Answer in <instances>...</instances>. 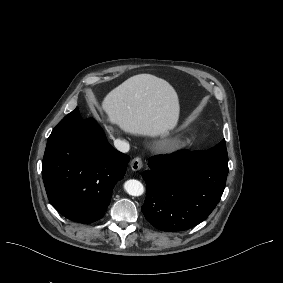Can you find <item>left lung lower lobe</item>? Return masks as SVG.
<instances>
[{
    "mask_svg": "<svg viewBox=\"0 0 283 283\" xmlns=\"http://www.w3.org/2000/svg\"><path fill=\"white\" fill-rule=\"evenodd\" d=\"M141 208L163 231H182L201 223L221 199L228 174L225 140L209 150H179L149 158Z\"/></svg>",
    "mask_w": 283,
    "mask_h": 283,
    "instance_id": "obj_1",
    "label": "left lung lower lobe"
}]
</instances>
